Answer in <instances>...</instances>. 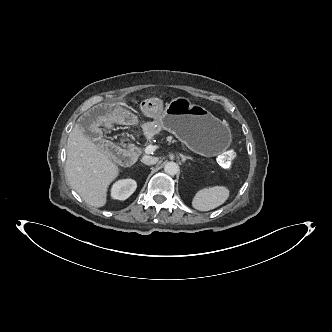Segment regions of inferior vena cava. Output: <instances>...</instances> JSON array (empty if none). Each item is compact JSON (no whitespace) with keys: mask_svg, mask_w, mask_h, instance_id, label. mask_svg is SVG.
I'll return each mask as SVG.
<instances>
[{"mask_svg":"<svg viewBox=\"0 0 332 332\" xmlns=\"http://www.w3.org/2000/svg\"><path fill=\"white\" fill-rule=\"evenodd\" d=\"M158 158L157 157H152V156H148L145 155L142 158V163L146 164V165H154L158 162Z\"/></svg>","mask_w":332,"mask_h":332,"instance_id":"1","label":"inferior vena cava"}]
</instances>
